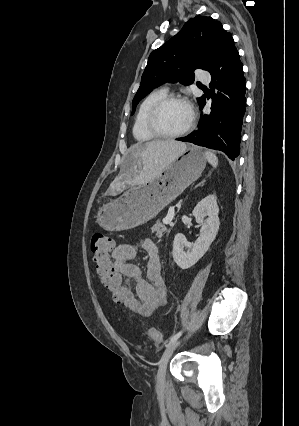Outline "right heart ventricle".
I'll return each instance as SVG.
<instances>
[{"instance_id": "obj_1", "label": "right heart ventricle", "mask_w": 299, "mask_h": 426, "mask_svg": "<svg viewBox=\"0 0 299 426\" xmlns=\"http://www.w3.org/2000/svg\"><path fill=\"white\" fill-rule=\"evenodd\" d=\"M167 95L163 88L150 92L140 103L133 124V135L140 142H148L156 139L147 127V117L153 105Z\"/></svg>"}]
</instances>
